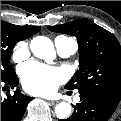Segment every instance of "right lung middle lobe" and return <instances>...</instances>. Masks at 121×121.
<instances>
[{
    "mask_svg": "<svg viewBox=\"0 0 121 121\" xmlns=\"http://www.w3.org/2000/svg\"><path fill=\"white\" fill-rule=\"evenodd\" d=\"M25 30L1 20V79L14 71L10 63L11 51L20 40L27 39Z\"/></svg>",
    "mask_w": 121,
    "mask_h": 121,
    "instance_id": "1",
    "label": "right lung middle lobe"
}]
</instances>
